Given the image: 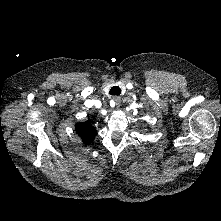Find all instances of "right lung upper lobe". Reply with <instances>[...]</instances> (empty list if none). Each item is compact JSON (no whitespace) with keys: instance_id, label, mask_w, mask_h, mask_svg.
<instances>
[{"instance_id":"obj_1","label":"right lung upper lobe","mask_w":221,"mask_h":221,"mask_svg":"<svg viewBox=\"0 0 221 221\" xmlns=\"http://www.w3.org/2000/svg\"><path fill=\"white\" fill-rule=\"evenodd\" d=\"M75 128L77 134L81 137L85 144L93 142L96 135V129L92 126L91 120L84 123H77Z\"/></svg>"}]
</instances>
